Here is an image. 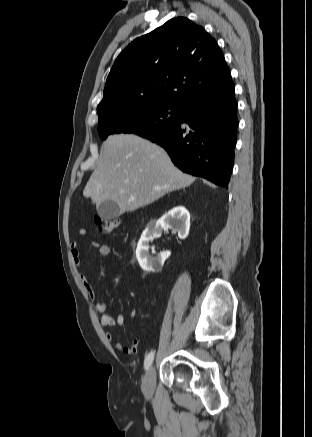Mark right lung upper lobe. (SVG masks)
I'll list each match as a JSON object with an SVG mask.
<instances>
[{
  "label": "right lung upper lobe",
  "mask_w": 312,
  "mask_h": 437,
  "mask_svg": "<svg viewBox=\"0 0 312 437\" xmlns=\"http://www.w3.org/2000/svg\"><path fill=\"white\" fill-rule=\"evenodd\" d=\"M230 77L217 42L189 19L174 18L135 39L117 57L98 116L136 103L184 107L217 90Z\"/></svg>",
  "instance_id": "obj_1"
}]
</instances>
